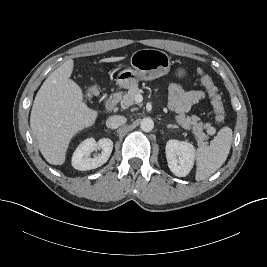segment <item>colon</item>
Returning a JSON list of instances; mask_svg holds the SVG:
<instances>
[{
    "label": "colon",
    "instance_id": "1",
    "mask_svg": "<svg viewBox=\"0 0 267 267\" xmlns=\"http://www.w3.org/2000/svg\"><path fill=\"white\" fill-rule=\"evenodd\" d=\"M202 85L206 88L209 97L211 98V104L213 107L215 119L218 123H222L225 119V107L221 96L218 93L216 86L214 85L212 78L205 74L203 71H199ZM99 89L96 86H92L87 90V96L93 97L97 95Z\"/></svg>",
    "mask_w": 267,
    "mask_h": 267
}]
</instances>
